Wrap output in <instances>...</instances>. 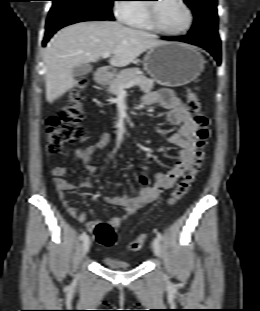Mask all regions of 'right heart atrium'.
Segmentation results:
<instances>
[{
    "instance_id": "d8ad5b80",
    "label": "right heart atrium",
    "mask_w": 260,
    "mask_h": 311,
    "mask_svg": "<svg viewBox=\"0 0 260 311\" xmlns=\"http://www.w3.org/2000/svg\"><path fill=\"white\" fill-rule=\"evenodd\" d=\"M134 7L124 0H116L114 2L113 11L115 16L122 22H127Z\"/></svg>"
}]
</instances>
